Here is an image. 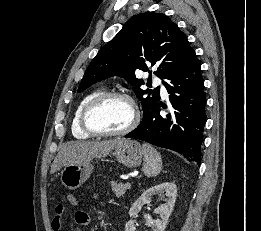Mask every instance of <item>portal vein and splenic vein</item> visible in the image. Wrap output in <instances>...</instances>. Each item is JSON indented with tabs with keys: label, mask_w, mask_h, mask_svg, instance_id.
<instances>
[{
	"label": "portal vein and splenic vein",
	"mask_w": 261,
	"mask_h": 231,
	"mask_svg": "<svg viewBox=\"0 0 261 231\" xmlns=\"http://www.w3.org/2000/svg\"><path fill=\"white\" fill-rule=\"evenodd\" d=\"M126 185H130V183H129V182H127V183H126Z\"/></svg>",
	"instance_id": "18ae733b"
}]
</instances>
